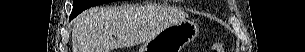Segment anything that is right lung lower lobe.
Segmentation results:
<instances>
[{
    "label": "right lung lower lobe",
    "instance_id": "98d812e1",
    "mask_svg": "<svg viewBox=\"0 0 305 52\" xmlns=\"http://www.w3.org/2000/svg\"><path fill=\"white\" fill-rule=\"evenodd\" d=\"M73 18H74V16L70 15V20L73 19Z\"/></svg>",
    "mask_w": 305,
    "mask_h": 52
}]
</instances>
